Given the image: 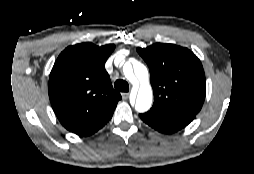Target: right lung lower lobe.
Instances as JSON below:
<instances>
[{
  "instance_id": "1",
  "label": "right lung lower lobe",
  "mask_w": 254,
  "mask_h": 174,
  "mask_svg": "<svg viewBox=\"0 0 254 174\" xmlns=\"http://www.w3.org/2000/svg\"><path fill=\"white\" fill-rule=\"evenodd\" d=\"M114 112V111H113ZM113 112L109 113L108 115H106L104 118H102L101 120L87 126L84 127L76 132H74L75 134L79 135V136H89L94 134L95 132H97L99 129H101L112 117Z\"/></svg>"
}]
</instances>
